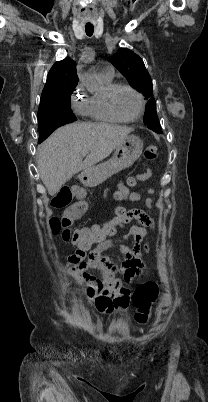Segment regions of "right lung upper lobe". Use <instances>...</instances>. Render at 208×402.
Segmentation results:
<instances>
[{"instance_id": "cb5924a9", "label": "right lung upper lobe", "mask_w": 208, "mask_h": 402, "mask_svg": "<svg viewBox=\"0 0 208 402\" xmlns=\"http://www.w3.org/2000/svg\"><path fill=\"white\" fill-rule=\"evenodd\" d=\"M77 83L76 64L70 58H65L50 69L41 97L52 91L75 87Z\"/></svg>"}]
</instances>
